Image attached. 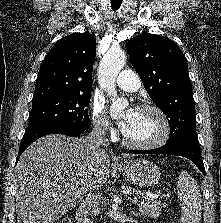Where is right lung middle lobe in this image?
Listing matches in <instances>:
<instances>
[{
  "mask_svg": "<svg viewBox=\"0 0 221 223\" xmlns=\"http://www.w3.org/2000/svg\"><path fill=\"white\" fill-rule=\"evenodd\" d=\"M90 94L91 92L56 95L32 100L33 106L27 130L54 124L74 128H90L91 121L86 109L90 101Z\"/></svg>",
  "mask_w": 221,
  "mask_h": 223,
  "instance_id": "right-lung-middle-lobe-1",
  "label": "right lung middle lobe"
}]
</instances>
